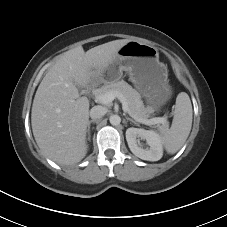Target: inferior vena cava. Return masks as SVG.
Returning a JSON list of instances; mask_svg holds the SVG:
<instances>
[{
	"mask_svg": "<svg viewBox=\"0 0 227 227\" xmlns=\"http://www.w3.org/2000/svg\"><path fill=\"white\" fill-rule=\"evenodd\" d=\"M106 108L103 106H94L91 110H90V117L93 120L99 119L101 117H103L106 114Z\"/></svg>",
	"mask_w": 227,
	"mask_h": 227,
	"instance_id": "1",
	"label": "inferior vena cava"
}]
</instances>
